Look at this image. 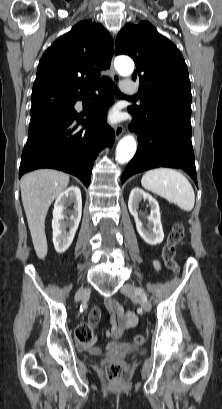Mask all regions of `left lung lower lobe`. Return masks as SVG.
<instances>
[{"label": "left lung lower lobe", "mask_w": 222, "mask_h": 409, "mask_svg": "<svg viewBox=\"0 0 222 409\" xmlns=\"http://www.w3.org/2000/svg\"><path fill=\"white\" fill-rule=\"evenodd\" d=\"M132 113L130 130L138 135V150L126 167L121 182L152 168L172 167L187 172L197 185L195 157L191 143L190 116L181 109L164 108L144 115Z\"/></svg>", "instance_id": "left-lung-lower-lobe-1"}]
</instances>
